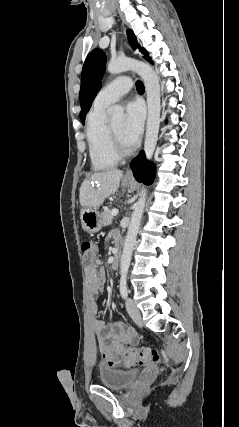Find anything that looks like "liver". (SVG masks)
Returning <instances> with one entry per match:
<instances>
[{"instance_id":"1","label":"liver","mask_w":239,"mask_h":427,"mask_svg":"<svg viewBox=\"0 0 239 427\" xmlns=\"http://www.w3.org/2000/svg\"><path fill=\"white\" fill-rule=\"evenodd\" d=\"M123 176L122 170L111 168L103 172L94 173L83 181L80 187L79 201L82 207L97 208L104 200L114 194ZM97 184L98 188L95 187Z\"/></svg>"}]
</instances>
